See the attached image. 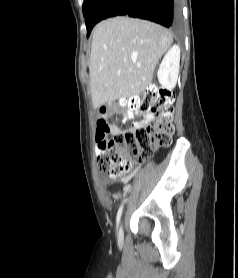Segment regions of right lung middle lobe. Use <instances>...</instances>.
<instances>
[{
  "label": "right lung middle lobe",
  "instance_id": "1",
  "mask_svg": "<svg viewBox=\"0 0 238 278\" xmlns=\"http://www.w3.org/2000/svg\"><path fill=\"white\" fill-rule=\"evenodd\" d=\"M96 0H84L82 10L83 15L86 16L88 9L95 3Z\"/></svg>",
  "mask_w": 238,
  "mask_h": 278
}]
</instances>
